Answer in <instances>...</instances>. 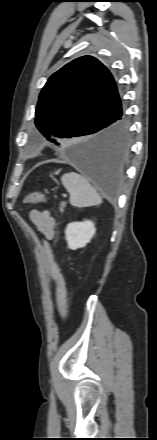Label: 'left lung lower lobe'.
Listing matches in <instances>:
<instances>
[{
  "instance_id": "0a47b994",
  "label": "left lung lower lobe",
  "mask_w": 157,
  "mask_h": 440,
  "mask_svg": "<svg viewBox=\"0 0 157 440\" xmlns=\"http://www.w3.org/2000/svg\"><path fill=\"white\" fill-rule=\"evenodd\" d=\"M85 144L65 145L70 160L105 193L112 194L123 174L130 148L129 122L122 108Z\"/></svg>"
}]
</instances>
